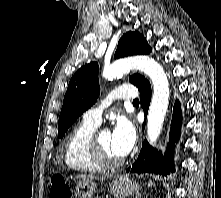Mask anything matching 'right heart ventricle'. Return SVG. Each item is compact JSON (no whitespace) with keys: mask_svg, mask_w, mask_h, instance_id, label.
Listing matches in <instances>:
<instances>
[{"mask_svg":"<svg viewBox=\"0 0 221 198\" xmlns=\"http://www.w3.org/2000/svg\"><path fill=\"white\" fill-rule=\"evenodd\" d=\"M98 125L83 120L69 133L65 141V163L75 171L97 172L101 166L93 157L90 141Z\"/></svg>","mask_w":221,"mask_h":198,"instance_id":"1","label":"right heart ventricle"}]
</instances>
